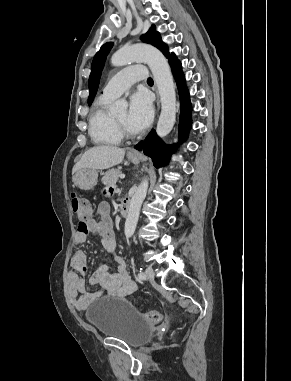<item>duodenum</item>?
<instances>
[{"mask_svg": "<svg viewBox=\"0 0 291 381\" xmlns=\"http://www.w3.org/2000/svg\"><path fill=\"white\" fill-rule=\"evenodd\" d=\"M120 213L122 216H127L128 213H129V203L128 202H124L120 205Z\"/></svg>", "mask_w": 291, "mask_h": 381, "instance_id": "obj_1", "label": "duodenum"}]
</instances>
